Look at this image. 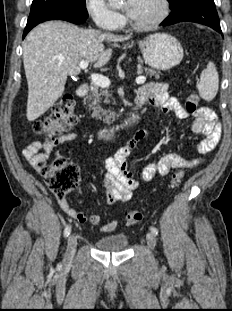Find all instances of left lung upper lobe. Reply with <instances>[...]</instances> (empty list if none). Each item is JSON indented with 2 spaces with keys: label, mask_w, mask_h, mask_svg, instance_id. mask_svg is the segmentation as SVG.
Wrapping results in <instances>:
<instances>
[{
  "label": "left lung upper lobe",
  "mask_w": 232,
  "mask_h": 311,
  "mask_svg": "<svg viewBox=\"0 0 232 311\" xmlns=\"http://www.w3.org/2000/svg\"><path fill=\"white\" fill-rule=\"evenodd\" d=\"M169 1V3H170V5H171V7L177 2V1H179V0H168Z\"/></svg>",
  "instance_id": "left-lung-upper-lobe-1"
}]
</instances>
